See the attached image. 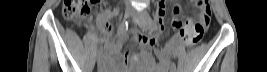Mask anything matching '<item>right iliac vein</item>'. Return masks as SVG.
<instances>
[{
	"label": "right iliac vein",
	"mask_w": 267,
	"mask_h": 72,
	"mask_svg": "<svg viewBox=\"0 0 267 72\" xmlns=\"http://www.w3.org/2000/svg\"><path fill=\"white\" fill-rule=\"evenodd\" d=\"M129 16H130V12L129 11H126L125 14H124V19H127ZM100 58H101V54H98L97 61H99Z\"/></svg>",
	"instance_id": "right-iliac-vein-1"
}]
</instances>
